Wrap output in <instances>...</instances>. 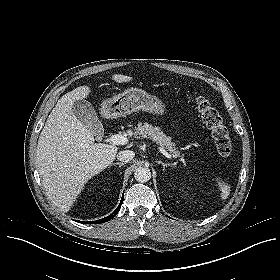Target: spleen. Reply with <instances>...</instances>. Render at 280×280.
Segmentation results:
<instances>
[{
  "label": "spleen",
  "mask_w": 280,
  "mask_h": 280,
  "mask_svg": "<svg viewBox=\"0 0 280 280\" xmlns=\"http://www.w3.org/2000/svg\"><path fill=\"white\" fill-rule=\"evenodd\" d=\"M219 186L221 188V199L225 200L227 199V197L230 194V185L226 184V183H221L219 182Z\"/></svg>",
  "instance_id": "spleen-1"
}]
</instances>
